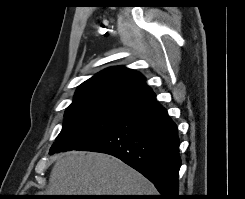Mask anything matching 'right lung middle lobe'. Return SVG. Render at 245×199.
Returning a JSON list of instances; mask_svg holds the SVG:
<instances>
[{"label":"right lung middle lobe","instance_id":"right-lung-middle-lobe-1","mask_svg":"<svg viewBox=\"0 0 245 199\" xmlns=\"http://www.w3.org/2000/svg\"><path fill=\"white\" fill-rule=\"evenodd\" d=\"M127 116L90 106L67 108L63 128L50 154L77 149L108 132Z\"/></svg>","mask_w":245,"mask_h":199}]
</instances>
